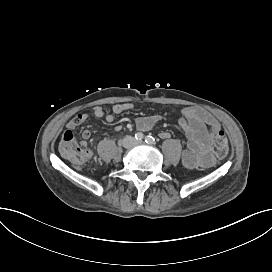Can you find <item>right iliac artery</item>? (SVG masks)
Listing matches in <instances>:
<instances>
[{"label": "right iliac artery", "instance_id": "obj_1", "mask_svg": "<svg viewBox=\"0 0 272 272\" xmlns=\"http://www.w3.org/2000/svg\"><path fill=\"white\" fill-rule=\"evenodd\" d=\"M143 138H144L143 133L137 132V133L135 134V139H136L137 141H142Z\"/></svg>", "mask_w": 272, "mask_h": 272}]
</instances>
